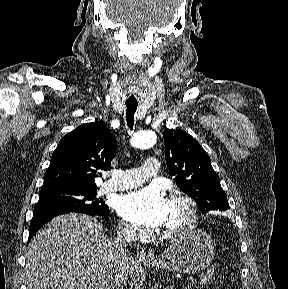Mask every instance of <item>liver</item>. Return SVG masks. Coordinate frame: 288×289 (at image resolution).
<instances>
[{"label":"liver","mask_w":288,"mask_h":289,"mask_svg":"<svg viewBox=\"0 0 288 289\" xmlns=\"http://www.w3.org/2000/svg\"><path fill=\"white\" fill-rule=\"evenodd\" d=\"M110 240L92 216H58L29 243L25 275L28 289H94L97 275L110 261ZM127 258L117 289L127 281Z\"/></svg>","instance_id":"obj_1"}]
</instances>
